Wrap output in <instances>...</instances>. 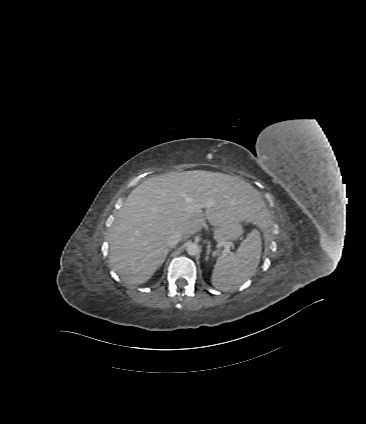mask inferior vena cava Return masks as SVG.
Wrapping results in <instances>:
<instances>
[{"instance_id":"1","label":"inferior vena cava","mask_w":366,"mask_h":424,"mask_svg":"<svg viewBox=\"0 0 366 424\" xmlns=\"http://www.w3.org/2000/svg\"><path fill=\"white\" fill-rule=\"evenodd\" d=\"M181 239H182L181 232H178V231L174 232L167 237L166 245L169 247H174L181 241Z\"/></svg>"}]
</instances>
